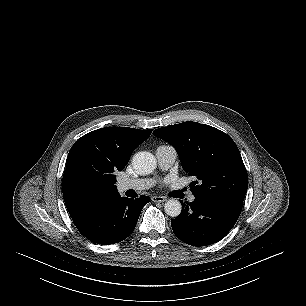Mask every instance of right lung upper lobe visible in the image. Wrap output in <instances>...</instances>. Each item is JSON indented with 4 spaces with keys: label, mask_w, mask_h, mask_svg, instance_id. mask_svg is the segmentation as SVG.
<instances>
[{
    "label": "right lung upper lobe",
    "mask_w": 306,
    "mask_h": 306,
    "mask_svg": "<svg viewBox=\"0 0 306 306\" xmlns=\"http://www.w3.org/2000/svg\"><path fill=\"white\" fill-rule=\"evenodd\" d=\"M152 129L129 127L101 128L79 138L69 151L63 174V197L72 220L120 197L115 183L107 180L110 172L122 170L134 149L145 141ZM87 163L105 178L96 186L84 185L79 177L80 167Z\"/></svg>",
    "instance_id": "obj_1"
}]
</instances>
